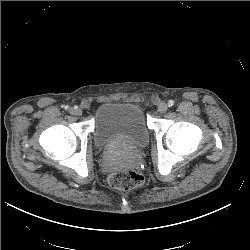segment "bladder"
<instances>
[{
  "label": "bladder",
  "mask_w": 250,
  "mask_h": 250,
  "mask_svg": "<svg viewBox=\"0 0 250 250\" xmlns=\"http://www.w3.org/2000/svg\"><path fill=\"white\" fill-rule=\"evenodd\" d=\"M150 131L141 108L128 102H105L94 113L93 141L97 149H141Z\"/></svg>",
  "instance_id": "bladder-1"
}]
</instances>
